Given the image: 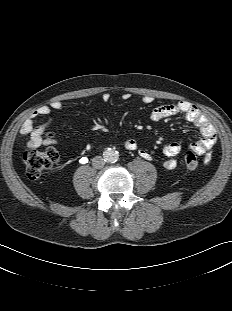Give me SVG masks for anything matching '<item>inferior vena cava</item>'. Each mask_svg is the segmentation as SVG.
Listing matches in <instances>:
<instances>
[{
    "instance_id": "inferior-vena-cava-1",
    "label": "inferior vena cava",
    "mask_w": 232,
    "mask_h": 311,
    "mask_svg": "<svg viewBox=\"0 0 232 311\" xmlns=\"http://www.w3.org/2000/svg\"><path fill=\"white\" fill-rule=\"evenodd\" d=\"M105 165V160L101 156H95L92 159V166L96 169H100Z\"/></svg>"
}]
</instances>
